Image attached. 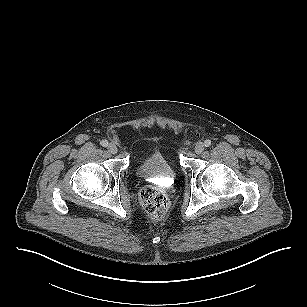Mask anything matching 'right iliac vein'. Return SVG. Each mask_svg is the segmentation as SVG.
Instances as JSON below:
<instances>
[{
  "mask_svg": "<svg viewBox=\"0 0 307 307\" xmlns=\"http://www.w3.org/2000/svg\"><path fill=\"white\" fill-rule=\"evenodd\" d=\"M107 149L111 154H115L118 151V148L114 143H110Z\"/></svg>",
  "mask_w": 307,
  "mask_h": 307,
  "instance_id": "63e3f726",
  "label": "right iliac vein"
}]
</instances>
